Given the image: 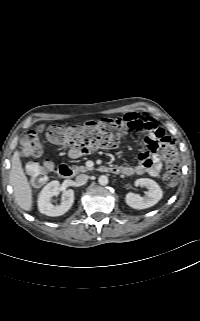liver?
Wrapping results in <instances>:
<instances>
[{
  "label": "liver",
  "instance_id": "1",
  "mask_svg": "<svg viewBox=\"0 0 200 321\" xmlns=\"http://www.w3.org/2000/svg\"><path fill=\"white\" fill-rule=\"evenodd\" d=\"M10 184L13 187L15 201L25 211H31L33 206L32 189L23 171L18 151H15L11 160Z\"/></svg>",
  "mask_w": 200,
  "mask_h": 321
}]
</instances>
